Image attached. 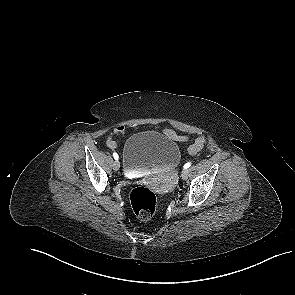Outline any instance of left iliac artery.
<instances>
[{
    "label": "left iliac artery",
    "instance_id": "left-iliac-artery-1",
    "mask_svg": "<svg viewBox=\"0 0 295 295\" xmlns=\"http://www.w3.org/2000/svg\"><path fill=\"white\" fill-rule=\"evenodd\" d=\"M191 166V162H188V163H186L185 165H184V169H187V168H189Z\"/></svg>",
    "mask_w": 295,
    "mask_h": 295
}]
</instances>
